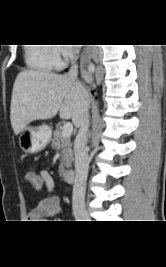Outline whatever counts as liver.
Here are the masks:
<instances>
[{"label":"liver","mask_w":166,"mask_h":267,"mask_svg":"<svg viewBox=\"0 0 166 267\" xmlns=\"http://www.w3.org/2000/svg\"><path fill=\"white\" fill-rule=\"evenodd\" d=\"M90 99L85 88L67 75L42 71H22L13 85L10 107L11 126L16 135L36 120L72 119L79 127Z\"/></svg>","instance_id":"1"}]
</instances>
